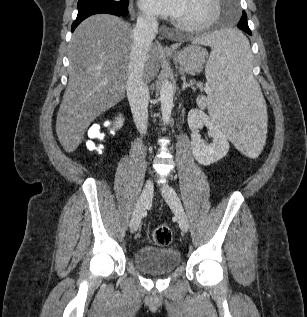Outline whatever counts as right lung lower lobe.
Instances as JSON below:
<instances>
[{
	"label": "right lung lower lobe",
	"mask_w": 307,
	"mask_h": 317,
	"mask_svg": "<svg viewBox=\"0 0 307 317\" xmlns=\"http://www.w3.org/2000/svg\"><path fill=\"white\" fill-rule=\"evenodd\" d=\"M95 14H112L116 16H126L128 14V7L120 11L108 9L105 7H88L78 10L77 18L72 24V32L84 19Z\"/></svg>",
	"instance_id": "1"
}]
</instances>
